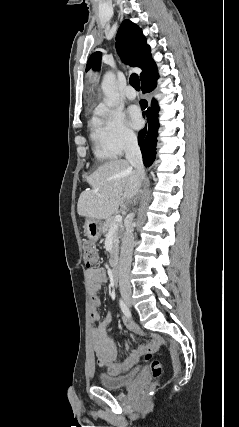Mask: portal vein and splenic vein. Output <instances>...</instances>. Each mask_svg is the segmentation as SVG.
Returning a JSON list of instances; mask_svg holds the SVG:
<instances>
[{
    "instance_id": "1",
    "label": "portal vein and splenic vein",
    "mask_w": 239,
    "mask_h": 427,
    "mask_svg": "<svg viewBox=\"0 0 239 427\" xmlns=\"http://www.w3.org/2000/svg\"><path fill=\"white\" fill-rule=\"evenodd\" d=\"M114 221L115 223L111 226V230H116L118 228V226L122 223V216L120 215H116L114 217Z\"/></svg>"
}]
</instances>
